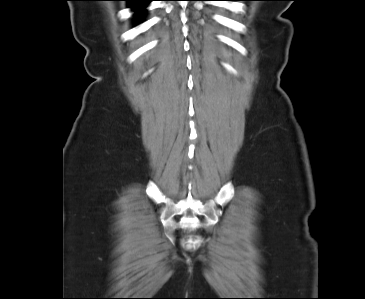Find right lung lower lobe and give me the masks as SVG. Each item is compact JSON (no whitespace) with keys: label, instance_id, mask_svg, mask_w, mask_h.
Segmentation results:
<instances>
[{"label":"right lung lower lobe","instance_id":"obj_1","mask_svg":"<svg viewBox=\"0 0 365 299\" xmlns=\"http://www.w3.org/2000/svg\"><path fill=\"white\" fill-rule=\"evenodd\" d=\"M130 3V7L135 10V16L140 17L141 14L145 12L144 8L150 3L152 0H126Z\"/></svg>","mask_w":365,"mask_h":299}]
</instances>
